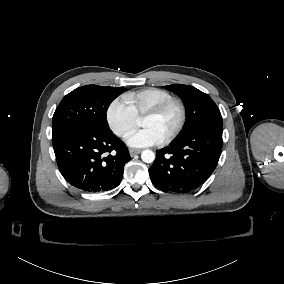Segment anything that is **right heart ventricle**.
<instances>
[{"label": "right heart ventricle", "mask_w": 284, "mask_h": 284, "mask_svg": "<svg viewBox=\"0 0 284 284\" xmlns=\"http://www.w3.org/2000/svg\"><path fill=\"white\" fill-rule=\"evenodd\" d=\"M123 99L136 115H142L146 111L168 100L174 99V97L165 89L158 87H146L126 94Z\"/></svg>", "instance_id": "1"}]
</instances>
